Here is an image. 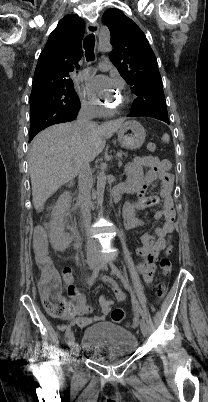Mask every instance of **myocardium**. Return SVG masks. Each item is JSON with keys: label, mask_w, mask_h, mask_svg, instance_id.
Returning a JSON list of instances; mask_svg holds the SVG:
<instances>
[{"label": "myocardium", "mask_w": 208, "mask_h": 402, "mask_svg": "<svg viewBox=\"0 0 208 402\" xmlns=\"http://www.w3.org/2000/svg\"><path fill=\"white\" fill-rule=\"evenodd\" d=\"M131 102H132V98H131L130 94L125 92L122 96V101L120 103L114 104V109L119 110V111L125 110L130 106Z\"/></svg>", "instance_id": "1"}]
</instances>
